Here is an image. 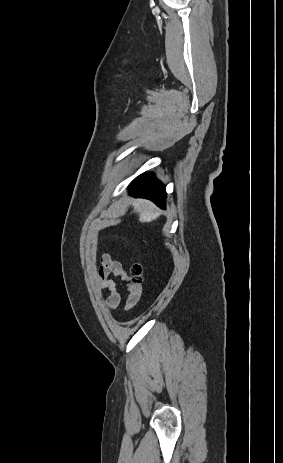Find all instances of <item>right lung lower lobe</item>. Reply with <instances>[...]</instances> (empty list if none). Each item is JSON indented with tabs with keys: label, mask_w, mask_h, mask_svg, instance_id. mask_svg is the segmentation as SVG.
Instances as JSON below:
<instances>
[{
	"label": "right lung lower lobe",
	"mask_w": 283,
	"mask_h": 463,
	"mask_svg": "<svg viewBox=\"0 0 283 463\" xmlns=\"http://www.w3.org/2000/svg\"><path fill=\"white\" fill-rule=\"evenodd\" d=\"M132 195L152 200L160 208H165V186L153 177L143 174L136 178L130 185Z\"/></svg>",
	"instance_id": "obj_1"
}]
</instances>
